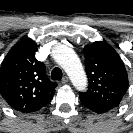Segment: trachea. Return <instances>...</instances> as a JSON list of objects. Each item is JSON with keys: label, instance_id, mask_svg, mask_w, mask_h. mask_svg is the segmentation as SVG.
<instances>
[{"label": "trachea", "instance_id": "3493384b", "mask_svg": "<svg viewBox=\"0 0 133 133\" xmlns=\"http://www.w3.org/2000/svg\"><path fill=\"white\" fill-rule=\"evenodd\" d=\"M52 80H61L62 78V70L58 67H55L51 72Z\"/></svg>", "mask_w": 133, "mask_h": 133}]
</instances>
